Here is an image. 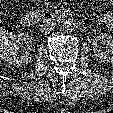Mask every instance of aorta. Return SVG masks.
Instances as JSON below:
<instances>
[{
	"instance_id": "obj_1",
	"label": "aorta",
	"mask_w": 113,
	"mask_h": 113,
	"mask_svg": "<svg viewBox=\"0 0 113 113\" xmlns=\"http://www.w3.org/2000/svg\"><path fill=\"white\" fill-rule=\"evenodd\" d=\"M78 29V22L74 18H68L63 22V30L67 33L75 32Z\"/></svg>"
}]
</instances>
